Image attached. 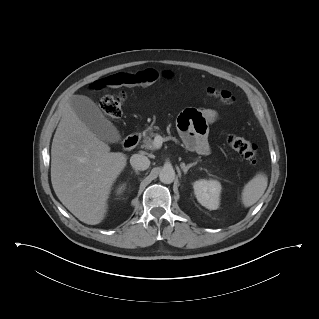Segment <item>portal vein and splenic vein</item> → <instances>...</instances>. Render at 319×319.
I'll list each match as a JSON object with an SVG mask.
<instances>
[{
	"instance_id": "1",
	"label": "portal vein and splenic vein",
	"mask_w": 319,
	"mask_h": 319,
	"mask_svg": "<svg viewBox=\"0 0 319 319\" xmlns=\"http://www.w3.org/2000/svg\"><path fill=\"white\" fill-rule=\"evenodd\" d=\"M163 142V138L160 135H157L153 141V145L156 148H160Z\"/></svg>"
}]
</instances>
